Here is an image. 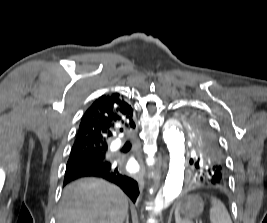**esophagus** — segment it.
<instances>
[{
  "label": "esophagus",
  "mask_w": 267,
  "mask_h": 223,
  "mask_svg": "<svg viewBox=\"0 0 267 223\" xmlns=\"http://www.w3.org/2000/svg\"><path fill=\"white\" fill-rule=\"evenodd\" d=\"M166 167V163H165V161L163 162V168H165ZM138 181L140 182V183H142L141 182V177L138 179Z\"/></svg>",
  "instance_id": "34e87169"
}]
</instances>
